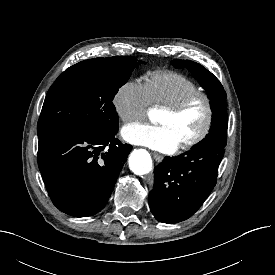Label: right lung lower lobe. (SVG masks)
<instances>
[{
  "mask_svg": "<svg viewBox=\"0 0 275 275\" xmlns=\"http://www.w3.org/2000/svg\"><path fill=\"white\" fill-rule=\"evenodd\" d=\"M117 132H71L39 140V170L60 211L87 217L106 204L132 149L115 138Z\"/></svg>",
  "mask_w": 275,
  "mask_h": 275,
  "instance_id": "obj_1",
  "label": "right lung lower lobe"
}]
</instances>
